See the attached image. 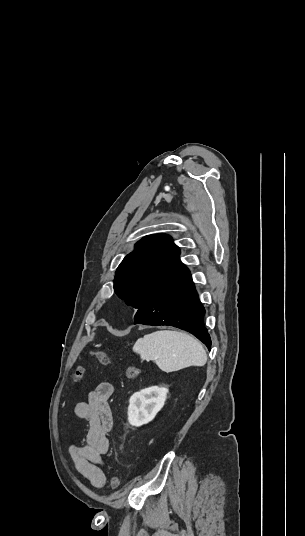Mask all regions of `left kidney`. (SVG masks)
Here are the masks:
<instances>
[{
  "mask_svg": "<svg viewBox=\"0 0 305 536\" xmlns=\"http://www.w3.org/2000/svg\"><path fill=\"white\" fill-rule=\"evenodd\" d=\"M167 392V388H158V386L135 392L129 400V424L131 426H143V424L151 422L163 408Z\"/></svg>",
  "mask_w": 305,
  "mask_h": 536,
  "instance_id": "left-kidney-1",
  "label": "left kidney"
}]
</instances>
